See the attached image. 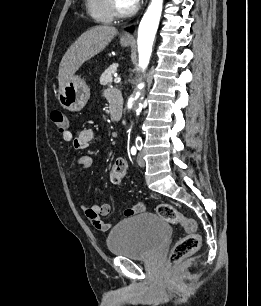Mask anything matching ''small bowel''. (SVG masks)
<instances>
[{
	"mask_svg": "<svg viewBox=\"0 0 261 306\" xmlns=\"http://www.w3.org/2000/svg\"><path fill=\"white\" fill-rule=\"evenodd\" d=\"M106 97L108 100L113 102L114 100H118L122 102L121 96L116 91H107ZM62 137L64 141L72 143L73 147L77 150L87 149L95 138V133L90 128H82L77 132L73 133L69 130H66ZM92 158L88 155L80 156L76 159L75 164L81 170H87L92 165ZM67 177L72 176V171L70 168L66 169ZM82 211L85 213L89 221L96 227L98 230L107 231L111 228V224L104 221L102 218L108 216L111 212V205L110 204H102V205H93L87 206L82 204L81 205ZM143 210L142 205H136L132 208H129L125 211V216H132L137 214Z\"/></svg>",
	"mask_w": 261,
	"mask_h": 306,
	"instance_id": "1",
	"label": "small bowel"
}]
</instances>
